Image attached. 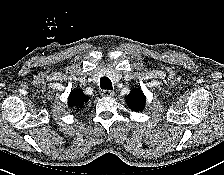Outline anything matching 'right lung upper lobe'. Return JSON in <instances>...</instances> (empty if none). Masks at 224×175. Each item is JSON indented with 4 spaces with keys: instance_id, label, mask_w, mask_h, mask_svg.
Masks as SVG:
<instances>
[{
    "instance_id": "1",
    "label": "right lung upper lobe",
    "mask_w": 224,
    "mask_h": 175,
    "mask_svg": "<svg viewBox=\"0 0 224 175\" xmlns=\"http://www.w3.org/2000/svg\"><path fill=\"white\" fill-rule=\"evenodd\" d=\"M89 97L86 96L80 90H74L70 93L68 98L69 107H75L76 109L83 108L84 104L88 102Z\"/></svg>"
}]
</instances>
